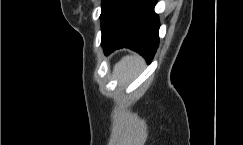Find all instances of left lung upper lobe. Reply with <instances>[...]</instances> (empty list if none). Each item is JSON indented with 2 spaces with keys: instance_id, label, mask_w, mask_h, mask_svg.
Segmentation results:
<instances>
[{
  "instance_id": "obj_1",
  "label": "left lung upper lobe",
  "mask_w": 243,
  "mask_h": 145,
  "mask_svg": "<svg viewBox=\"0 0 243 145\" xmlns=\"http://www.w3.org/2000/svg\"><path fill=\"white\" fill-rule=\"evenodd\" d=\"M128 2L129 0H102V11L100 15L102 35L107 33L118 14Z\"/></svg>"
}]
</instances>
